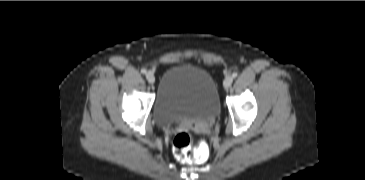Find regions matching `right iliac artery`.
I'll list each match as a JSON object with an SVG mask.
<instances>
[{
  "label": "right iliac artery",
  "instance_id": "82829eb1",
  "mask_svg": "<svg viewBox=\"0 0 365 180\" xmlns=\"http://www.w3.org/2000/svg\"><path fill=\"white\" fill-rule=\"evenodd\" d=\"M146 72H147L146 69L144 68L141 69V73L145 74Z\"/></svg>",
  "mask_w": 365,
  "mask_h": 180
}]
</instances>
